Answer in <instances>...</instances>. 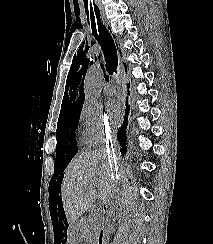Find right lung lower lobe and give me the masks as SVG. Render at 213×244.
I'll list each match as a JSON object with an SVG mask.
<instances>
[{
  "label": "right lung lower lobe",
  "instance_id": "98d812e1",
  "mask_svg": "<svg viewBox=\"0 0 213 244\" xmlns=\"http://www.w3.org/2000/svg\"><path fill=\"white\" fill-rule=\"evenodd\" d=\"M127 100H128V98H127ZM128 113H129V105L127 104L126 112H125V118H124L123 124L120 127V129L118 131V134H117L118 140H119L120 145L122 147L121 148L122 155H124V153L126 151V140H127L126 129H127V116H128Z\"/></svg>",
  "mask_w": 213,
  "mask_h": 244
}]
</instances>
